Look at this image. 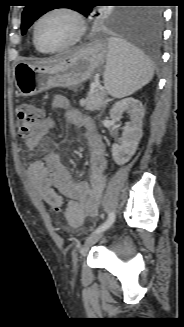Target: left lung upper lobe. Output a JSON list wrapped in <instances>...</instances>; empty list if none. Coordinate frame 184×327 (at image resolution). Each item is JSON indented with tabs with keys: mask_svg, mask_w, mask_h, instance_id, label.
Wrapping results in <instances>:
<instances>
[{
	"mask_svg": "<svg viewBox=\"0 0 184 327\" xmlns=\"http://www.w3.org/2000/svg\"><path fill=\"white\" fill-rule=\"evenodd\" d=\"M55 3L56 1L53 0H30L22 13L21 33L25 34L35 20L54 9ZM74 3L76 4L70 7L85 17L94 19L97 26L126 28L137 20L140 13L138 9H112L99 12L97 6L88 4L86 0H75Z\"/></svg>",
	"mask_w": 184,
	"mask_h": 327,
	"instance_id": "left-lung-upper-lobe-1",
	"label": "left lung upper lobe"
}]
</instances>
